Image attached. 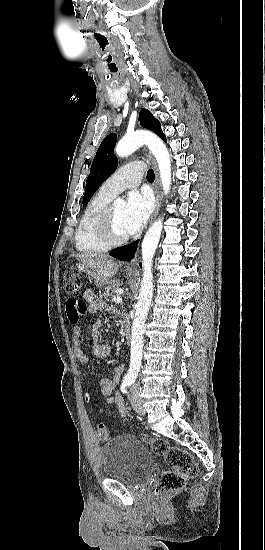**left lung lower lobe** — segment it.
<instances>
[{
    "label": "left lung lower lobe",
    "mask_w": 265,
    "mask_h": 550,
    "mask_svg": "<svg viewBox=\"0 0 265 550\" xmlns=\"http://www.w3.org/2000/svg\"><path fill=\"white\" fill-rule=\"evenodd\" d=\"M137 245H138V240L127 246L115 249L112 253H110V255L124 261H130L134 257V253L136 251Z\"/></svg>",
    "instance_id": "left-lung-lower-lobe-1"
}]
</instances>
